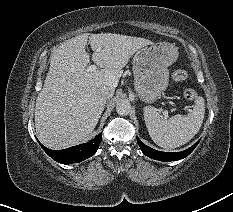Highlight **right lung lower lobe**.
<instances>
[{
    "label": "right lung lower lobe",
    "instance_id": "right-lung-lower-lobe-1",
    "mask_svg": "<svg viewBox=\"0 0 233 212\" xmlns=\"http://www.w3.org/2000/svg\"><path fill=\"white\" fill-rule=\"evenodd\" d=\"M102 133L95 136V138L88 143L73 146L64 150H49L42 144L43 150L55 161L62 164H71L81 162L95 154L101 142Z\"/></svg>",
    "mask_w": 233,
    "mask_h": 212
}]
</instances>
